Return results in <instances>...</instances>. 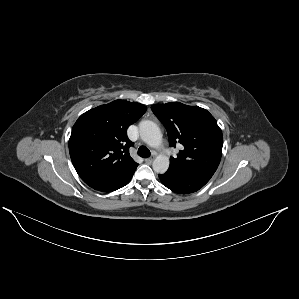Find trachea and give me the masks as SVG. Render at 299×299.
Returning a JSON list of instances; mask_svg holds the SVG:
<instances>
[{"instance_id": "3493384b", "label": "trachea", "mask_w": 299, "mask_h": 299, "mask_svg": "<svg viewBox=\"0 0 299 299\" xmlns=\"http://www.w3.org/2000/svg\"><path fill=\"white\" fill-rule=\"evenodd\" d=\"M138 155L142 158H148L150 156V151L145 146H140L138 149Z\"/></svg>"}]
</instances>
